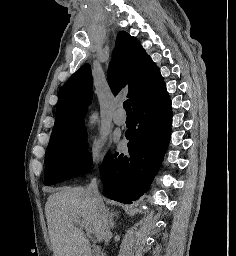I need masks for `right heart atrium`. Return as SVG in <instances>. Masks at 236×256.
Masks as SVG:
<instances>
[{
	"instance_id": "d8ad5b80",
	"label": "right heart atrium",
	"mask_w": 236,
	"mask_h": 256,
	"mask_svg": "<svg viewBox=\"0 0 236 256\" xmlns=\"http://www.w3.org/2000/svg\"><path fill=\"white\" fill-rule=\"evenodd\" d=\"M90 119H94V118H90ZM102 151H103V144L100 141L94 140L90 143L87 150L86 158L91 168L97 169L100 166L101 159H102Z\"/></svg>"
}]
</instances>
